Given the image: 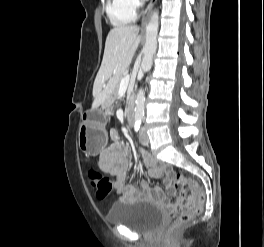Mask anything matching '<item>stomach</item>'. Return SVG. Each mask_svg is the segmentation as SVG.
<instances>
[{"instance_id":"0dacf381","label":"stomach","mask_w":264,"mask_h":247,"mask_svg":"<svg viewBox=\"0 0 264 247\" xmlns=\"http://www.w3.org/2000/svg\"><path fill=\"white\" fill-rule=\"evenodd\" d=\"M79 147L86 153L98 154L107 142L105 114L100 112L95 117L89 116L80 126L78 133Z\"/></svg>"}]
</instances>
